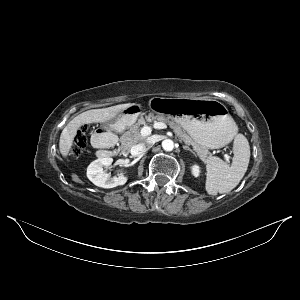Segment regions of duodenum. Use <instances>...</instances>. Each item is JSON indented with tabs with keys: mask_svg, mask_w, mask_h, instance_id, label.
Segmentation results:
<instances>
[{
	"mask_svg": "<svg viewBox=\"0 0 300 300\" xmlns=\"http://www.w3.org/2000/svg\"><path fill=\"white\" fill-rule=\"evenodd\" d=\"M93 143L98 149L99 157L105 158L112 154L111 146L114 143V138L109 131H97L93 135Z\"/></svg>",
	"mask_w": 300,
	"mask_h": 300,
	"instance_id": "410a0bca",
	"label": "duodenum"
}]
</instances>
